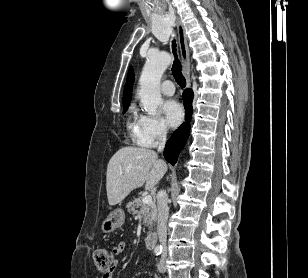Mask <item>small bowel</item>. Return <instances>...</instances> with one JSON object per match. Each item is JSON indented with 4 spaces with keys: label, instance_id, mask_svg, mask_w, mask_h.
I'll list each match as a JSON object with an SVG mask.
<instances>
[{
    "label": "small bowel",
    "instance_id": "obj_1",
    "mask_svg": "<svg viewBox=\"0 0 308 278\" xmlns=\"http://www.w3.org/2000/svg\"><path fill=\"white\" fill-rule=\"evenodd\" d=\"M125 243L121 242L118 245H116L113 249L112 252L114 254V256L118 257L119 255H121L123 253V251L125 250ZM117 266V259H114V264L112 269L105 273V275L103 276V278H112V270Z\"/></svg>",
    "mask_w": 308,
    "mask_h": 278
}]
</instances>
